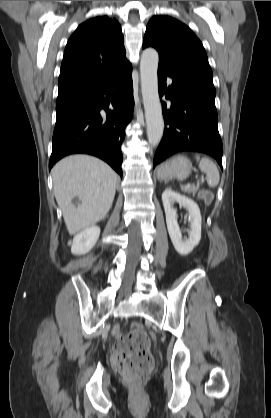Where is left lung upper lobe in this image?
<instances>
[{
  "label": "left lung upper lobe",
  "mask_w": 271,
  "mask_h": 418,
  "mask_svg": "<svg viewBox=\"0 0 271 418\" xmlns=\"http://www.w3.org/2000/svg\"><path fill=\"white\" fill-rule=\"evenodd\" d=\"M146 47L157 49L159 66L213 86V74L203 45L182 22L164 15L152 17L144 35L143 48Z\"/></svg>",
  "instance_id": "5c2ea615"
}]
</instances>
